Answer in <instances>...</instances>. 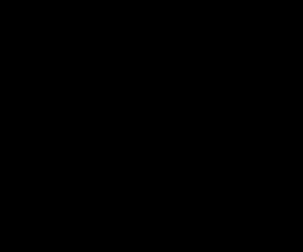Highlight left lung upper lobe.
<instances>
[{
	"label": "left lung upper lobe",
	"instance_id": "left-lung-upper-lobe-1",
	"mask_svg": "<svg viewBox=\"0 0 303 252\" xmlns=\"http://www.w3.org/2000/svg\"><path fill=\"white\" fill-rule=\"evenodd\" d=\"M221 125L215 127V131L205 137L208 142L218 143L227 146L238 144V120L236 113L223 110L220 116Z\"/></svg>",
	"mask_w": 303,
	"mask_h": 252
}]
</instances>
